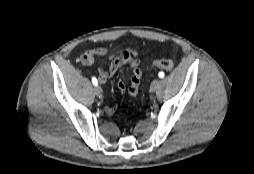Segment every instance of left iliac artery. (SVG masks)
Here are the masks:
<instances>
[{
    "instance_id": "left-iliac-artery-1",
    "label": "left iliac artery",
    "mask_w": 254,
    "mask_h": 174,
    "mask_svg": "<svg viewBox=\"0 0 254 174\" xmlns=\"http://www.w3.org/2000/svg\"><path fill=\"white\" fill-rule=\"evenodd\" d=\"M158 76H159L160 78H163V77H164V72H159Z\"/></svg>"
}]
</instances>
